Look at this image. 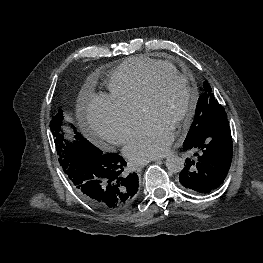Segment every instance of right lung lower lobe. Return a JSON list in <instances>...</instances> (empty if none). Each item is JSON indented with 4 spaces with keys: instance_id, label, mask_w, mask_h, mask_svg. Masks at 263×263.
Segmentation results:
<instances>
[{
    "instance_id": "right-lung-lower-lobe-1",
    "label": "right lung lower lobe",
    "mask_w": 263,
    "mask_h": 263,
    "mask_svg": "<svg viewBox=\"0 0 263 263\" xmlns=\"http://www.w3.org/2000/svg\"><path fill=\"white\" fill-rule=\"evenodd\" d=\"M125 166L116 153H79L64 172L88 203L118 211L130 205L138 191L137 174H126Z\"/></svg>"
}]
</instances>
